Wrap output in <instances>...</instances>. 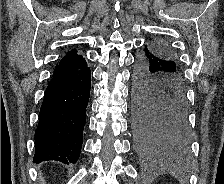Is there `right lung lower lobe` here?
<instances>
[{
	"mask_svg": "<svg viewBox=\"0 0 224 184\" xmlns=\"http://www.w3.org/2000/svg\"><path fill=\"white\" fill-rule=\"evenodd\" d=\"M91 73L87 63L53 73L35 131L34 163L56 160L75 163L80 155Z\"/></svg>",
	"mask_w": 224,
	"mask_h": 184,
	"instance_id": "1",
	"label": "right lung lower lobe"
}]
</instances>
